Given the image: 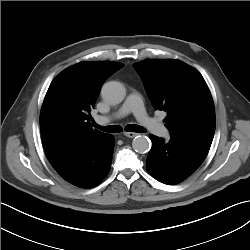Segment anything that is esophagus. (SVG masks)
I'll use <instances>...</instances> for the list:
<instances>
[{
  "label": "esophagus",
  "instance_id": "obj_1",
  "mask_svg": "<svg viewBox=\"0 0 250 250\" xmlns=\"http://www.w3.org/2000/svg\"><path fill=\"white\" fill-rule=\"evenodd\" d=\"M124 135H125L126 137L133 138V137L137 136L138 133H134V132H124Z\"/></svg>",
  "mask_w": 250,
  "mask_h": 250
}]
</instances>
